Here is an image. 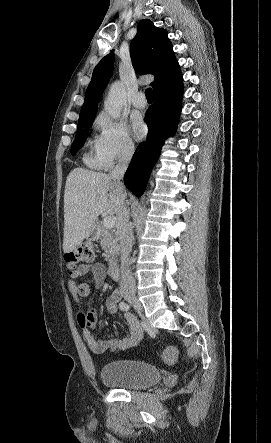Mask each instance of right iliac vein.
<instances>
[{
  "label": "right iliac vein",
  "instance_id": "1",
  "mask_svg": "<svg viewBox=\"0 0 271 443\" xmlns=\"http://www.w3.org/2000/svg\"><path fill=\"white\" fill-rule=\"evenodd\" d=\"M125 299L134 306L141 308V303L139 302L135 294H127L125 295Z\"/></svg>",
  "mask_w": 271,
  "mask_h": 443
}]
</instances>
